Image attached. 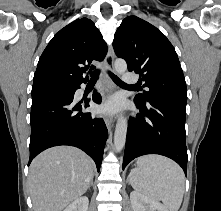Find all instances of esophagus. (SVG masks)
<instances>
[{
    "mask_svg": "<svg viewBox=\"0 0 221 211\" xmlns=\"http://www.w3.org/2000/svg\"><path fill=\"white\" fill-rule=\"evenodd\" d=\"M105 62H106V66L108 70H110L111 72H114V52L111 48L109 49L106 55ZM110 88H112V86H110ZM104 121L108 129H110L114 123L113 117L107 114L104 115Z\"/></svg>",
    "mask_w": 221,
    "mask_h": 211,
    "instance_id": "34e87169",
    "label": "esophagus"
}]
</instances>
